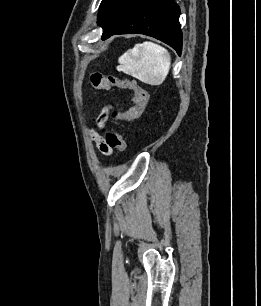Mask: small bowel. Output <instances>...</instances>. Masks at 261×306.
I'll return each mask as SVG.
<instances>
[{"mask_svg":"<svg viewBox=\"0 0 261 306\" xmlns=\"http://www.w3.org/2000/svg\"><path fill=\"white\" fill-rule=\"evenodd\" d=\"M111 109H105L103 111V113L100 115L99 119H98V123L100 126H102L104 124V122L107 119L108 116V111ZM91 137L94 140V142L98 145L99 149L101 150V152L105 155H110L112 153V148H110L107 143L106 140L96 131L92 130L91 131Z\"/></svg>","mask_w":261,"mask_h":306,"instance_id":"small-bowel-1","label":"small bowel"}]
</instances>
